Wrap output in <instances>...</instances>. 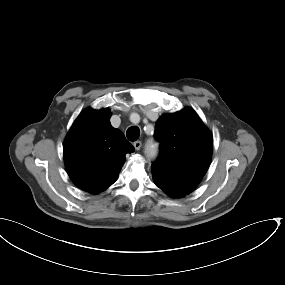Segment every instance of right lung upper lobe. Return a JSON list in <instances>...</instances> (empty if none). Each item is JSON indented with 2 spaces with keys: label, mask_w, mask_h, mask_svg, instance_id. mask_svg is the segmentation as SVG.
<instances>
[{
  "label": "right lung upper lobe",
  "mask_w": 285,
  "mask_h": 285,
  "mask_svg": "<svg viewBox=\"0 0 285 285\" xmlns=\"http://www.w3.org/2000/svg\"><path fill=\"white\" fill-rule=\"evenodd\" d=\"M107 108L84 110L73 123L63 145L67 173L84 191L97 194L118 178L125 155L134 147L110 124Z\"/></svg>",
  "instance_id": "1"
}]
</instances>
